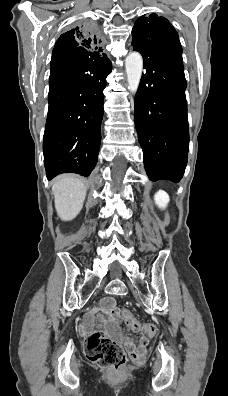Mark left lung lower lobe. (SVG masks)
<instances>
[{
  "label": "left lung lower lobe",
  "mask_w": 228,
  "mask_h": 396,
  "mask_svg": "<svg viewBox=\"0 0 228 396\" xmlns=\"http://www.w3.org/2000/svg\"><path fill=\"white\" fill-rule=\"evenodd\" d=\"M132 46L143 56L135 96V125L149 179L179 182L189 149L187 86L182 56L147 42Z\"/></svg>",
  "instance_id": "1"
}]
</instances>
